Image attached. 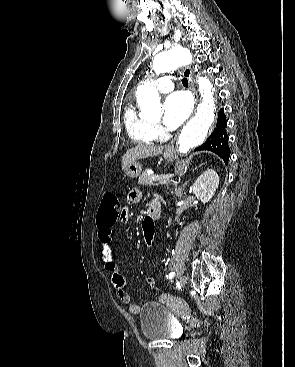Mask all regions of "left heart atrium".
I'll use <instances>...</instances> for the list:
<instances>
[{
	"label": "left heart atrium",
	"mask_w": 295,
	"mask_h": 367,
	"mask_svg": "<svg viewBox=\"0 0 295 367\" xmlns=\"http://www.w3.org/2000/svg\"><path fill=\"white\" fill-rule=\"evenodd\" d=\"M192 109V102L187 93L177 91L169 95L164 104L165 126L173 130L180 126L189 116Z\"/></svg>",
	"instance_id": "1"
}]
</instances>
